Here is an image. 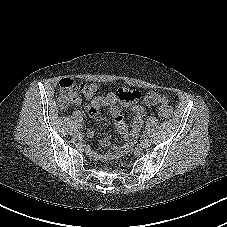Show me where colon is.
I'll list each match as a JSON object with an SVG mask.
<instances>
[{
	"label": "colon",
	"instance_id": "colon-1",
	"mask_svg": "<svg viewBox=\"0 0 227 227\" xmlns=\"http://www.w3.org/2000/svg\"><path fill=\"white\" fill-rule=\"evenodd\" d=\"M98 92L99 86L95 83L77 84L72 78L61 79L57 94L59 107L63 110L68 108L72 103L79 99V94H82L85 99H91ZM143 100L149 106L160 104L159 116L162 120H167L171 117V107L159 93L154 91L147 92L144 95ZM102 168L108 169V166L102 165Z\"/></svg>",
	"mask_w": 227,
	"mask_h": 227
}]
</instances>
